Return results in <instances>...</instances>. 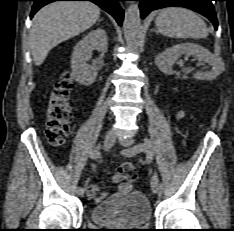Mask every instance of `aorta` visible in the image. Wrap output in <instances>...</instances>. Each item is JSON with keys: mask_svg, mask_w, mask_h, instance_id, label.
<instances>
[{"mask_svg": "<svg viewBox=\"0 0 234 231\" xmlns=\"http://www.w3.org/2000/svg\"><path fill=\"white\" fill-rule=\"evenodd\" d=\"M123 32L127 45L136 49L141 38V18L137 4H131L125 12Z\"/></svg>", "mask_w": 234, "mask_h": 231, "instance_id": "aorta-1", "label": "aorta"}]
</instances>
